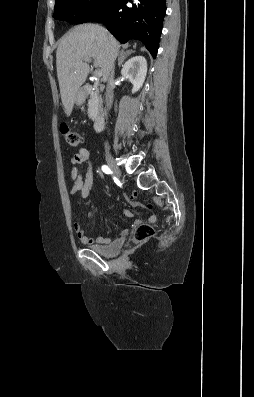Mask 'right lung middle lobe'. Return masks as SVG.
<instances>
[{
  "mask_svg": "<svg viewBox=\"0 0 254 397\" xmlns=\"http://www.w3.org/2000/svg\"><path fill=\"white\" fill-rule=\"evenodd\" d=\"M114 0H56L53 17L81 24L107 10Z\"/></svg>",
  "mask_w": 254,
  "mask_h": 397,
  "instance_id": "dd1d6c3e",
  "label": "right lung middle lobe"
}]
</instances>
